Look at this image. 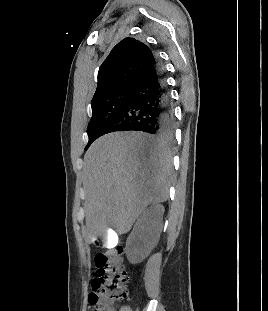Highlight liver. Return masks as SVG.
Segmentation results:
<instances>
[{
    "label": "liver",
    "instance_id": "liver-1",
    "mask_svg": "<svg viewBox=\"0 0 268 311\" xmlns=\"http://www.w3.org/2000/svg\"><path fill=\"white\" fill-rule=\"evenodd\" d=\"M172 159L142 133L114 132L97 139L84 156L85 238L88 243L130 231L151 203L168 198Z\"/></svg>",
    "mask_w": 268,
    "mask_h": 311
}]
</instances>
